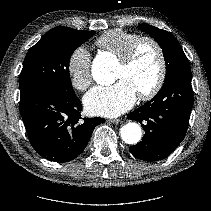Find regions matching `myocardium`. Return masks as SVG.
<instances>
[{"mask_svg": "<svg viewBox=\"0 0 211 211\" xmlns=\"http://www.w3.org/2000/svg\"><path fill=\"white\" fill-rule=\"evenodd\" d=\"M146 43L151 44L157 52L158 60H159V71H158L157 78L154 84L152 85V87L148 89L147 91H144L138 94L139 98L144 101L154 98L162 89L165 79H166L167 64H166L165 52L162 45L159 43L158 40H156L155 38L151 36H143V37L138 38L129 47L127 52L119 59V64L121 66H123L124 68L130 67L133 64L140 48L142 47V45Z\"/></svg>", "mask_w": 211, "mask_h": 211, "instance_id": "obj_1", "label": "myocardium"}]
</instances>
